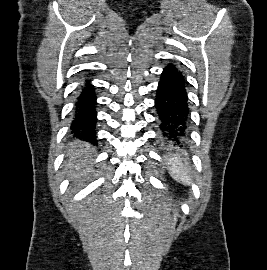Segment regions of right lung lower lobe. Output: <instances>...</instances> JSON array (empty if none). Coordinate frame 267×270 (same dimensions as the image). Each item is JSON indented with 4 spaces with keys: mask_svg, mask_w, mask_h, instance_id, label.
Wrapping results in <instances>:
<instances>
[{
    "mask_svg": "<svg viewBox=\"0 0 267 270\" xmlns=\"http://www.w3.org/2000/svg\"><path fill=\"white\" fill-rule=\"evenodd\" d=\"M96 95L90 81L82 87L75 102L73 110V120L71 123V134L93 144L97 143L96 122L97 113L95 111Z\"/></svg>",
    "mask_w": 267,
    "mask_h": 270,
    "instance_id": "98d812e1",
    "label": "right lung lower lobe"
}]
</instances>
